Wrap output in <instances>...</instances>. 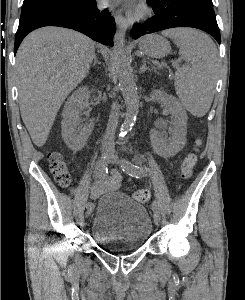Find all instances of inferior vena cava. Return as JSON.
<instances>
[{
    "instance_id": "1",
    "label": "inferior vena cava",
    "mask_w": 245,
    "mask_h": 300,
    "mask_svg": "<svg viewBox=\"0 0 245 300\" xmlns=\"http://www.w3.org/2000/svg\"><path fill=\"white\" fill-rule=\"evenodd\" d=\"M118 118H119V105L117 102H113V104L111 105L109 121H108V125L102 143L103 151H112L114 147V136L118 124Z\"/></svg>"
}]
</instances>
